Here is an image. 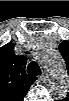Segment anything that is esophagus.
<instances>
[{"label": "esophagus", "instance_id": "obj_1", "mask_svg": "<svg viewBox=\"0 0 69 101\" xmlns=\"http://www.w3.org/2000/svg\"><path fill=\"white\" fill-rule=\"evenodd\" d=\"M40 78H41V80H44L45 79L44 76H41Z\"/></svg>", "mask_w": 69, "mask_h": 101}]
</instances>
